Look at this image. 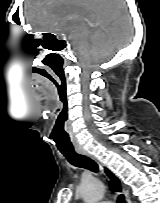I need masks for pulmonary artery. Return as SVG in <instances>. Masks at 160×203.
Wrapping results in <instances>:
<instances>
[{"label":"pulmonary artery","instance_id":"obj_1","mask_svg":"<svg viewBox=\"0 0 160 203\" xmlns=\"http://www.w3.org/2000/svg\"><path fill=\"white\" fill-rule=\"evenodd\" d=\"M102 203H111V202H102Z\"/></svg>","mask_w":160,"mask_h":203}]
</instances>
